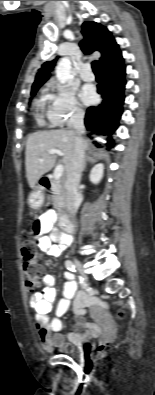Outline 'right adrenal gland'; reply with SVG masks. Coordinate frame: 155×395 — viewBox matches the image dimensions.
<instances>
[{
	"label": "right adrenal gland",
	"mask_w": 155,
	"mask_h": 395,
	"mask_svg": "<svg viewBox=\"0 0 155 395\" xmlns=\"http://www.w3.org/2000/svg\"><path fill=\"white\" fill-rule=\"evenodd\" d=\"M85 167H86V162H84V164H83L82 171H84V170H85Z\"/></svg>",
	"instance_id": "right-adrenal-gland-1"
}]
</instances>
